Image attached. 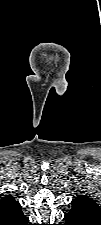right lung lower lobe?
<instances>
[{
    "label": "right lung lower lobe",
    "mask_w": 101,
    "mask_h": 225,
    "mask_svg": "<svg viewBox=\"0 0 101 225\" xmlns=\"http://www.w3.org/2000/svg\"><path fill=\"white\" fill-rule=\"evenodd\" d=\"M20 225H31V224L28 223V218L26 217L24 221L20 223Z\"/></svg>",
    "instance_id": "right-lung-lower-lobe-1"
}]
</instances>
